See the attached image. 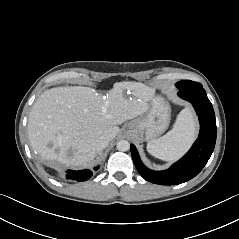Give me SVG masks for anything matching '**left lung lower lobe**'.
I'll list each match as a JSON object with an SVG mask.
<instances>
[{
	"mask_svg": "<svg viewBox=\"0 0 239 239\" xmlns=\"http://www.w3.org/2000/svg\"><path fill=\"white\" fill-rule=\"evenodd\" d=\"M178 96L192 103L200 122V133L191 149L178 162L164 171L146 168L131 144V154L139 174L147 181L160 185H176L195 177L206 165L216 142V121L213 106L202 86L180 90Z\"/></svg>",
	"mask_w": 239,
	"mask_h": 239,
	"instance_id": "0a47b994",
	"label": "left lung lower lobe"
}]
</instances>
